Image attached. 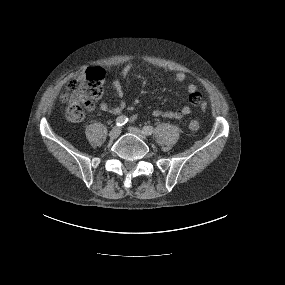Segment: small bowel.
<instances>
[{
	"label": "small bowel",
	"instance_id": "c3829d8e",
	"mask_svg": "<svg viewBox=\"0 0 285 285\" xmlns=\"http://www.w3.org/2000/svg\"><path fill=\"white\" fill-rule=\"evenodd\" d=\"M134 67L135 64L133 63L125 65L121 71L120 78H116L113 80V87L120 98H122L124 94L122 88V81L128 78L129 74L134 69ZM172 80L179 85H185L187 76L183 72H178L172 76ZM186 88L189 95L190 105H184L175 110L154 109L152 112L153 116L178 120L191 113V106H200L202 109H204L205 103L201 100V93L198 90L197 86L194 83H189L187 84ZM124 108H125L124 102H121L118 105H110L107 102L100 103V109L103 112L112 115L120 114ZM136 118L137 116L134 115L132 117V120Z\"/></svg>",
	"mask_w": 285,
	"mask_h": 285
}]
</instances>
